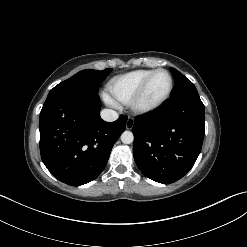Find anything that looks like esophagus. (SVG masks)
<instances>
[{
    "mask_svg": "<svg viewBox=\"0 0 247 247\" xmlns=\"http://www.w3.org/2000/svg\"><path fill=\"white\" fill-rule=\"evenodd\" d=\"M134 126V119L129 117L126 122V129L131 130Z\"/></svg>",
    "mask_w": 247,
    "mask_h": 247,
    "instance_id": "34e87169",
    "label": "esophagus"
}]
</instances>
